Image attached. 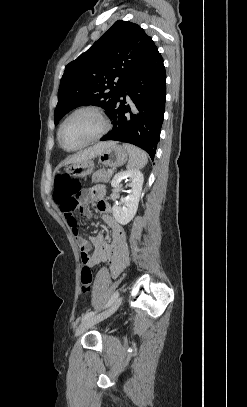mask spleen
<instances>
[{"label": "spleen", "mask_w": 247, "mask_h": 407, "mask_svg": "<svg viewBox=\"0 0 247 407\" xmlns=\"http://www.w3.org/2000/svg\"><path fill=\"white\" fill-rule=\"evenodd\" d=\"M123 147L129 153L128 169H141L147 164L148 157L145 151L127 143H124Z\"/></svg>", "instance_id": "spleen-1"}]
</instances>
